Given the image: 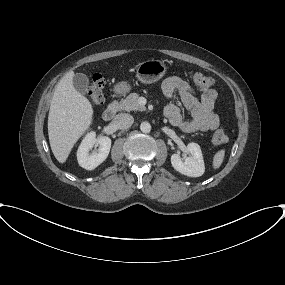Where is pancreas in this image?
I'll return each mask as SVG.
<instances>
[{"instance_id":"obj_1","label":"pancreas","mask_w":285,"mask_h":285,"mask_svg":"<svg viewBox=\"0 0 285 285\" xmlns=\"http://www.w3.org/2000/svg\"><path fill=\"white\" fill-rule=\"evenodd\" d=\"M138 98L139 95L137 93H131L129 94L126 99H122L120 102L114 101L112 102L111 106L116 110V111H144L146 110L145 106L139 105L138 103Z\"/></svg>"}]
</instances>
